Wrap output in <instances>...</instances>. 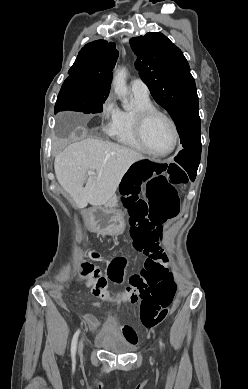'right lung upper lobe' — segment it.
Returning a JSON list of instances; mask_svg holds the SVG:
<instances>
[{"mask_svg":"<svg viewBox=\"0 0 248 389\" xmlns=\"http://www.w3.org/2000/svg\"><path fill=\"white\" fill-rule=\"evenodd\" d=\"M118 50L113 42L97 40L86 44L79 52L69 74L80 75L88 85L109 88L112 81V69L118 58Z\"/></svg>","mask_w":248,"mask_h":389,"instance_id":"1","label":"right lung upper lobe"}]
</instances>
